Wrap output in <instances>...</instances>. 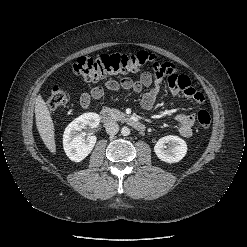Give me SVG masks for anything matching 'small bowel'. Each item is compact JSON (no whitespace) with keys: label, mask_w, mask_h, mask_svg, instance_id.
I'll return each instance as SVG.
<instances>
[{"label":"small bowel","mask_w":247,"mask_h":247,"mask_svg":"<svg viewBox=\"0 0 247 247\" xmlns=\"http://www.w3.org/2000/svg\"><path fill=\"white\" fill-rule=\"evenodd\" d=\"M158 64L164 66L161 69L160 74L152 75L149 72H143L138 80H132L130 78H123L120 81L108 80L105 82V87L110 91H118L119 89H130L134 92H141L144 88H149L140 102L143 109H151L160 94L161 82L163 77H168V84L170 91L173 95L183 94L187 99L200 105L204 102V96L192 87L189 78L183 74H180L178 70L169 63ZM104 95V89L102 87H94L90 93H83L80 98V103L84 108H88L91 105L92 99H101ZM175 120L179 125V133L181 136L188 138L193 134V125L195 122L194 114L179 113L175 116Z\"/></svg>","instance_id":"c3829d8e"}]
</instances>
